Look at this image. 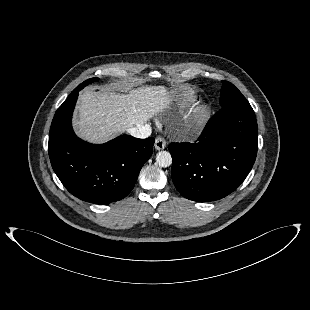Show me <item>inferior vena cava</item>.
I'll use <instances>...</instances> for the list:
<instances>
[{"instance_id": "obj_1", "label": "inferior vena cava", "mask_w": 310, "mask_h": 310, "mask_svg": "<svg viewBox=\"0 0 310 310\" xmlns=\"http://www.w3.org/2000/svg\"><path fill=\"white\" fill-rule=\"evenodd\" d=\"M127 132L133 137L144 139L151 135V127L148 124L138 125L128 128Z\"/></svg>"}]
</instances>
